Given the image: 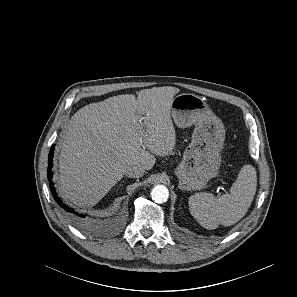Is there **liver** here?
Returning <instances> with one entry per match:
<instances>
[{
	"instance_id": "1",
	"label": "liver",
	"mask_w": 297,
	"mask_h": 297,
	"mask_svg": "<svg viewBox=\"0 0 297 297\" xmlns=\"http://www.w3.org/2000/svg\"><path fill=\"white\" fill-rule=\"evenodd\" d=\"M179 91L153 87L139 91L137 98L113 96L77 111L59 143L63 198L81 207L93 206L123 178L128 165L150 170L155 156L171 153L176 140L171 102Z\"/></svg>"
}]
</instances>
